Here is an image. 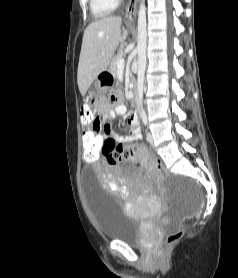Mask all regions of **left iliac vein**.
<instances>
[{
  "instance_id": "obj_1",
  "label": "left iliac vein",
  "mask_w": 238,
  "mask_h": 278,
  "mask_svg": "<svg viewBox=\"0 0 238 278\" xmlns=\"http://www.w3.org/2000/svg\"><path fill=\"white\" fill-rule=\"evenodd\" d=\"M147 140L151 145H153L154 140H153V135L151 132H147Z\"/></svg>"
}]
</instances>
